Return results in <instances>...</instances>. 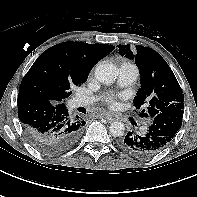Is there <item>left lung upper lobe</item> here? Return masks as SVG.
Here are the masks:
<instances>
[{
    "label": "left lung upper lobe",
    "instance_id": "5c2ea615",
    "mask_svg": "<svg viewBox=\"0 0 197 197\" xmlns=\"http://www.w3.org/2000/svg\"><path fill=\"white\" fill-rule=\"evenodd\" d=\"M121 55L135 60L140 72L141 86L134 98L140 116L151 120L161 112L184 109L182 89L167 62L153 49L130 45H118Z\"/></svg>",
    "mask_w": 197,
    "mask_h": 197
}]
</instances>
